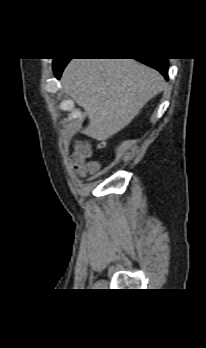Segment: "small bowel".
<instances>
[{"label": "small bowel", "mask_w": 206, "mask_h": 348, "mask_svg": "<svg viewBox=\"0 0 206 348\" xmlns=\"http://www.w3.org/2000/svg\"><path fill=\"white\" fill-rule=\"evenodd\" d=\"M74 169L76 173L79 174L80 176L87 177L97 173L100 169V165L96 162H91V163L78 165Z\"/></svg>", "instance_id": "small-bowel-1"}]
</instances>
